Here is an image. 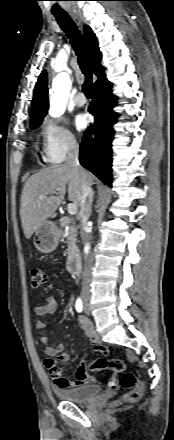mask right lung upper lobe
I'll list each match as a JSON object with an SVG mask.
<instances>
[{"label": "right lung upper lobe", "instance_id": "obj_1", "mask_svg": "<svg viewBox=\"0 0 174 440\" xmlns=\"http://www.w3.org/2000/svg\"><path fill=\"white\" fill-rule=\"evenodd\" d=\"M84 40L86 43V48L92 65V70L94 74L98 77V80L94 85L98 84L104 77V67L101 66V52L98 47V41L89 26L84 27ZM47 74L46 71H42L40 74L32 100V111H31V123L42 121L46 116L49 103L47 96Z\"/></svg>", "mask_w": 174, "mask_h": 440}]
</instances>
